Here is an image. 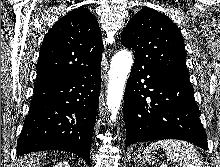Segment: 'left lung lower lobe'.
<instances>
[{
  "instance_id": "1",
  "label": "left lung lower lobe",
  "mask_w": 220,
  "mask_h": 167,
  "mask_svg": "<svg viewBox=\"0 0 220 167\" xmlns=\"http://www.w3.org/2000/svg\"><path fill=\"white\" fill-rule=\"evenodd\" d=\"M124 118L126 146L172 138L208 149L188 77L134 63L125 89Z\"/></svg>"
}]
</instances>
